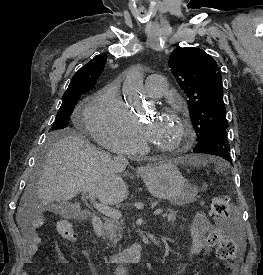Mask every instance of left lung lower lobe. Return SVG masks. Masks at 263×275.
I'll return each instance as SVG.
<instances>
[{"label": "left lung lower lobe", "mask_w": 263, "mask_h": 275, "mask_svg": "<svg viewBox=\"0 0 263 275\" xmlns=\"http://www.w3.org/2000/svg\"><path fill=\"white\" fill-rule=\"evenodd\" d=\"M229 151L230 146L228 144L226 130H221L208 135L204 139L198 141L193 149V152L195 153L212 154L232 162Z\"/></svg>", "instance_id": "1"}]
</instances>
